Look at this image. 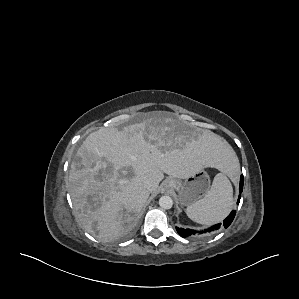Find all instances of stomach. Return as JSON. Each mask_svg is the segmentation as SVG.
Wrapping results in <instances>:
<instances>
[{
	"label": "stomach",
	"instance_id": "obj_1",
	"mask_svg": "<svg viewBox=\"0 0 299 299\" xmlns=\"http://www.w3.org/2000/svg\"><path fill=\"white\" fill-rule=\"evenodd\" d=\"M165 188L178 191L181 205L189 206L202 199L210 189V178L205 169L186 177L167 179Z\"/></svg>",
	"mask_w": 299,
	"mask_h": 299
}]
</instances>
